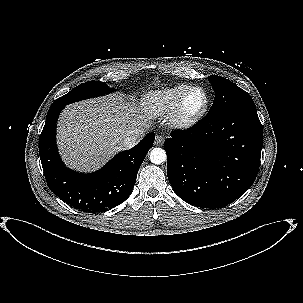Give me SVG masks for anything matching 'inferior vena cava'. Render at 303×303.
I'll return each mask as SVG.
<instances>
[{"label": "inferior vena cava", "mask_w": 303, "mask_h": 303, "mask_svg": "<svg viewBox=\"0 0 303 303\" xmlns=\"http://www.w3.org/2000/svg\"><path fill=\"white\" fill-rule=\"evenodd\" d=\"M143 136V130L129 131L121 143V148L126 150L134 147L143 138Z\"/></svg>", "instance_id": "1"}]
</instances>
